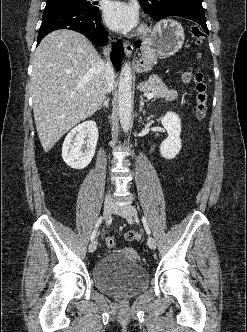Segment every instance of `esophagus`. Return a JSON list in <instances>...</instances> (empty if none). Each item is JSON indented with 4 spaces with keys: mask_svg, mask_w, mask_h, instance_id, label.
Listing matches in <instances>:
<instances>
[{
    "mask_svg": "<svg viewBox=\"0 0 247 332\" xmlns=\"http://www.w3.org/2000/svg\"><path fill=\"white\" fill-rule=\"evenodd\" d=\"M123 47H124V52H125V55L127 57H129L133 51V45L127 41V40H124L123 41Z\"/></svg>",
    "mask_w": 247,
    "mask_h": 332,
    "instance_id": "obj_1",
    "label": "esophagus"
}]
</instances>
